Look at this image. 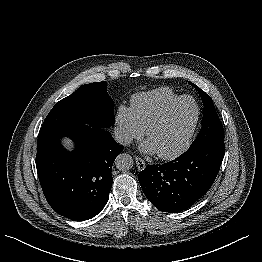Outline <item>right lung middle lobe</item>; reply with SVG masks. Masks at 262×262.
<instances>
[{
	"label": "right lung middle lobe",
	"instance_id": "obj_1",
	"mask_svg": "<svg viewBox=\"0 0 262 262\" xmlns=\"http://www.w3.org/2000/svg\"><path fill=\"white\" fill-rule=\"evenodd\" d=\"M113 100L107 93V82L79 87L57 102L42 127L67 126L88 122L93 127L107 128L114 123Z\"/></svg>",
	"mask_w": 262,
	"mask_h": 262
}]
</instances>
